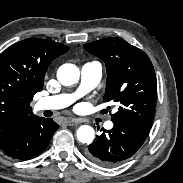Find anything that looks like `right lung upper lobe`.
<instances>
[{
	"mask_svg": "<svg viewBox=\"0 0 183 183\" xmlns=\"http://www.w3.org/2000/svg\"><path fill=\"white\" fill-rule=\"evenodd\" d=\"M68 50L57 42L30 38L0 54V142L19 120L34 115L30 102L43 88L48 65Z\"/></svg>",
	"mask_w": 183,
	"mask_h": 183,
	"instance_id": "1",
	"label": "right lung upper lobe"
}]
</instances>
